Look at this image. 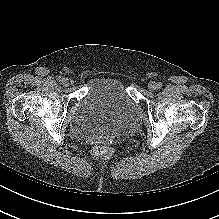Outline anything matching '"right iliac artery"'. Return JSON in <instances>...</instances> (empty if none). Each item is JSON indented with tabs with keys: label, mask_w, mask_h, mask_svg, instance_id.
Instances as JSON below:
<instances>
[{
	"label": "right iliac artery",
	"mask_w": 219,
	"mask_h": 219,
	"mask_svg": "<svg viewBox=\"0 0 219 219\" xmlns=\"http://www.w3.org/2000/svg\"><path fill=\"white\" fill-rule=\"evenodd\" d=\"M63 79H64V78H63L62 76H58V77H57V80H58L59 82H62Z\"/></svg>",
	"instance_id": "right-iliac-artery-1"
}]
</instances>
